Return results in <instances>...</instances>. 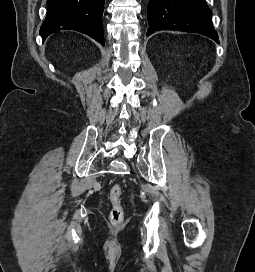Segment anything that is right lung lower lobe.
<instances>
[{
	"instance_id": "right-lung-lower-lobe-1",
	"label": "right lung lower lobe",
	"mask_w": 255,
	"mask_h": 272,
	"mask_svg": "<svg viewBox=\"0 0 255 272\" xmlns=\"http://www.w3.org/2000/svg\"><path fill=\"white\" fill-rule=\"evenodd\" d=\"M47 4L46 19L40 29L43 40L59 30H76L104 45V0H47Z\"/></svg>"
}]
</instances>
